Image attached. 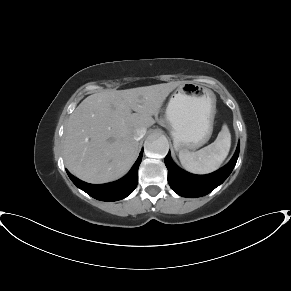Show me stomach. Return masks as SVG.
I'll return each instance as SVG.
<instances>
[{"label":"stomach","instance_id":"stomach-1","mask_svg":"<svg viewBox=\"0 0 291 291\" xmlns=\"http://www.w3.org/2000/svg\"><path fill=\"white\" fill-rule=\"evenodd\" d=\"M216 96L212 90L194 83L177 86L166 108L176 150H195L203 146L213 132Z\"/></svg>","mask_w":291,"mask_h":291}]
</instances>
